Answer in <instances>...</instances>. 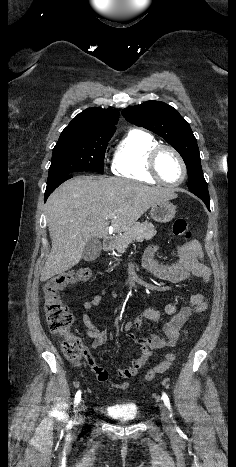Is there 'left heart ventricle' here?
<instances>
[{
  "instance_id": "b2bd125f",
  "label": "left heart ventricle",
  "mask_w": 236,
  "mask_h": 467,
  "mask_svg": "<svg viewBox=\"0 0 236 467\" xmlns=\"http://www.w3.org/2000/svg\"><path fill=\"white\" fill-rule=\"evenodd\" d=\"M158 169L162 178L169 183L178 182L182 177V167L176 156L170 151H163L158 160Z\"/></svg>"
}]
</instances>
